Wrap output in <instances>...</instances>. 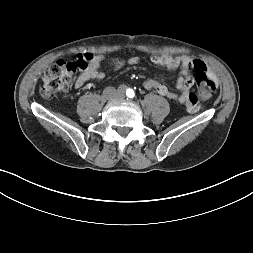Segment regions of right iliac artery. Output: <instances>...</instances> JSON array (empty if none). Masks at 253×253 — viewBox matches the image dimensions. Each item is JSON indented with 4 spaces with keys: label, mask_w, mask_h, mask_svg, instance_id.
I'll return each mask as SVG.
<instances>
[{
    "label": "right iliac artery",
    "mask_w": 253,
    "mask_h": 253,
    "mask_svg": "<svg viewBox=\"0 0 253 253\" xmlns=\"http://www.w3.org/2000/svg\"><path fill=\"white\" fill-rule=\"evenodd\" d=\"M118 92H120V93H124L125 92V86H119L118 87Z\"/></svg>",
    "instance_id": "right-iliac-artery-1"
}]
</instances>
